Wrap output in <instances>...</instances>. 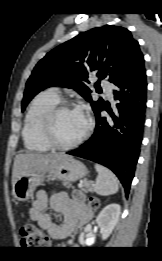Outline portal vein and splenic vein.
Listing matches in <instances>:
<instances>
[{
  "mask_svg": "<svg viewBox=\"0 0 162 261\" xmlns=\"http://www.w3.org/2000/svg\"><path fill=\"white\" fill-rule=\"evenodd\" d=\"M78 186L81 188L83 186V181H81Z\"/></svg>",
  "mask_w": 162,
  "mask_h": 261,
  "instance_id": "obj_1",
  "label": "portal vein and splenic vein"
}]
</instances>
